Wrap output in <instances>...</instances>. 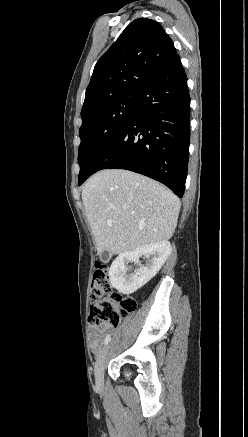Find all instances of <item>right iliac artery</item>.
Wrapping results in <instances>:
<instances>
[{
  "instance_id": "obj_1",
  "label": "right iliac artery",
  "mask_w": 248,
  "mask_h": 437,
  "mask_svg": "<svg viewBox=\"0 0 248 437\" xmlns=\"http://www.w3.org/2000/svg\"><path fill=\"white\" fill-rule=\"evenodd\" d=\"M110 340H111V336L108 335L104 340V345H107L110 342Z\"/></svg>"
}]
</instances>
